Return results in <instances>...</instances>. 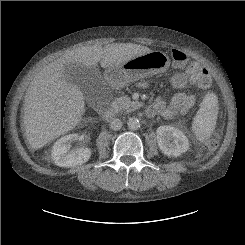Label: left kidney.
I'll return each mask as SVG.
<instances>
[{
    "label": "left kidney",
    "mask_w": 245,
    "mask_h": 245,
    "mask_svg": "<svg viewBox=\"0 0 245 245\" xmlns=\"http://www.w3.org/2000/svg\"><path fill=\"white\" fill-rule=\"evenodd\" d=\"M159 149L167 156L179 157L189 150V141L185 134L169 125H163L156 130Z\"/></svg>",
    "instance_id": "5707ae66"
}]
</instances>
